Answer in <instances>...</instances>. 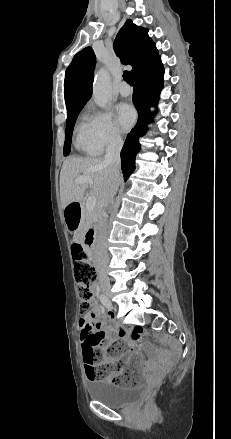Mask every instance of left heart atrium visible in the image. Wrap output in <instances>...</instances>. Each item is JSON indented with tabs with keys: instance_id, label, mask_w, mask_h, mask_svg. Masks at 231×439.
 Returning <instances> with one entry per match:
<instances>
[{
	"instance_id": "39dd6f15",
	"label": "left heart atrium",
	"mask_w": 231,
	"mask_h": 439,
	"mask_svg": "<svg viewBox=\"0 0 231 439\" xmlns=\"http://www.w3.org/2000/svg\"><path fill=\"white\" fill-rule=\"evenodd\" d=\"M135 118V111L130 105L126 103L117 105L116 120L121 129L128 130L133 125Z\"/></svg>"
}]
</instances>
